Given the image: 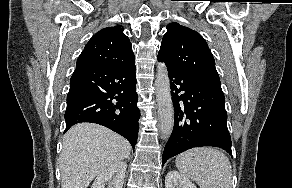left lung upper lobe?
Masks as SVG:
<instances>
[{
  "instance_id": "left-lung-upper-lobe-1",
  "label": "left lung upper lobe",
  "mask_w": 292,
  "mask_h": 188,
  "mask_svg": "<svg viewBox=\"0 0 292 188\" xmlns=\"http://www.w3.org/2000/svg\"><path fill=\"white\" fill-rule=\"evenodd\" d=\"M158 60L165 61L169 69L220 86L215 61L206 41L199 33L188 27L175 22L167 25Z\"/></svg>"
}]
</instances>
